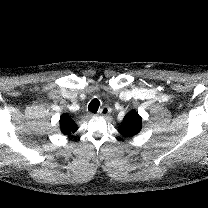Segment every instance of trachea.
Returning a JSON list of instances; mask_svg holds the SVG:
<instances>
[{
    "instance_id": "3493384b",
    "label": "trachea",
    "mask_w": 208,
    "mask_h": 208,
    "mask_svg": "<svg viewBox=\"0 0 208 208\" xmlns=\"http://www.w3.org/2000/svg\"><path fill=\"white\" fill-rule=\"evenodd\" d=\"M100 106V101L98 99H93L88 106V109L92 113H96L98 111V108Z\"/></svg>"
}]
</instances>
